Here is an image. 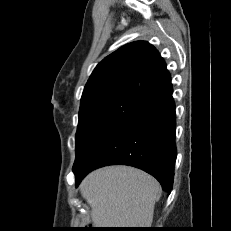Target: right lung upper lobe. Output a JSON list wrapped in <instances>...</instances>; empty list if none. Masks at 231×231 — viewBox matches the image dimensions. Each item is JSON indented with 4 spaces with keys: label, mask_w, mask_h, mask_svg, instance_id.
<instances>
[{
    "label": "right lung upper lobe",
    "mask_w": 231,
    "mask_h": 231,
    "mask_svg": "<svg viewBox=\"0 0 231 231\" xmlns=\"http://www.w3.org/2000/svg\"><path fill=\"white\" fill-rule=\"evenodd\" d=\"M172 92L163 58L148 42L136 41L122 46L96 66L83 91L80 108L107 95L129 94L148 103Z\"/></svg>",
    "instance_id": "cb5924a9"
}]
</instances>
